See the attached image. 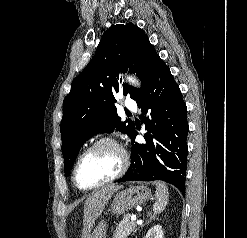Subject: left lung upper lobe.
I'll use <instances>...</instances> for the list:
<instances>
[{"label": "left lung upper lobe", "instance_id": "5c2ea615", "mask_svg": "<svg viewBox=\"0 0 247 238\" xmlns=\"http://www.w3.org/2000/svg\"><path fill=\"white\" fill-rule=\"evenodd\" d=\"M162 60L145 32L127 23L112 25L102 36L96 53L85 69L73 80L63 102L61 122L65 176L72 168L83 144L98 133L118 131L132 135L131 120L120 121L114 105V93L137 100ZM136 73L142 89L121 83L120 72Z\"/></svg>", "mask_w": 247, "mask_h": 238}]
</instances>
